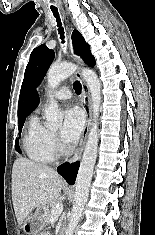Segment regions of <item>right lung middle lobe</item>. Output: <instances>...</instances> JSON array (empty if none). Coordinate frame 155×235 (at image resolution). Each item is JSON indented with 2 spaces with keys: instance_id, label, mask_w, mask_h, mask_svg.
Returning a JSON list of instances; mask_svg holds the SVG:
<instances>
[{
  "instance_id": "obj_1",
  "label": "right lung middle lobe",
  "mask_w": 155,
  "mask_h": 235,
  "mask_svg": "<svg viewBox=\"0 0 155 235\" xmlns=\"http://www.w3.org/2000/svg\"><path fill=\"white\" fill-rule=\"evenodd\" d=\"M25 119H26V118H24V119H22V120H19V135H20V133H21V131H22V127H23V124H24V122H25ZM15 149H16V151H18L19 153H21V150H20V148H19V141H18V139L16 140Z\"/></svg>"
}]
</instances>
